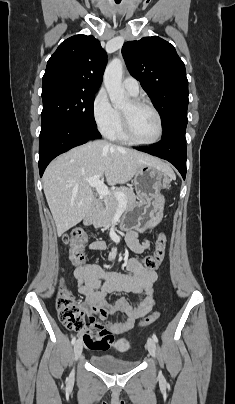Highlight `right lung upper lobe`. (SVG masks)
<instances>
[{
	"label": "right lung upper lobe",
	"instance_id": "obj_1",
	"mask_svg": "<svg viewBox=\"0 0 235 404\" xmlns=\"http://www.w3.org/2000/svg\"><path fill=\"white\" fill-rule=\"evenodd\" d=\"M107 55L93 36L75 35L62 42L47 63L43 86L62 84L97 92Z\"/></svg>",
	"mask_w": 235,
	"mask_h": 404
}]
</instances>
